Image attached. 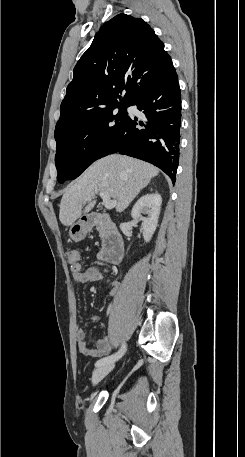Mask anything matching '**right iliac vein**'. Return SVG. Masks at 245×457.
<instances>
[{"label":"right iliac vein","instance_id":"1","mask_svg":"<svg viewBox=\"0 0 245 457\" xmlns=\"http://www.w3.org/2000/svg\"><path fill=\"white\" fill-rule=\"evenodd\" d=\"M114 368L113 363H108L97 367L93 371L92 382L94 385L98 384L112 369Z\"/></svg>","mask_w":245,"mask_h":457}]
</instances>
